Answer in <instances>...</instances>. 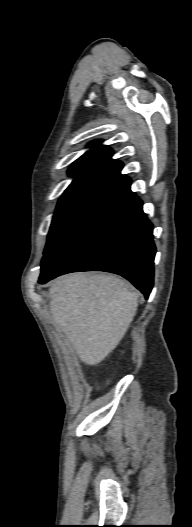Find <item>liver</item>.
<instances>
[{"instance_id": "1", "label": "liver", "mask_w": 192, "mask_h": 527, "mask_svg": "<svg viewBox=\"0 0 192 527\" xmlns=\"http://www.w3.org/2000/svg\"><path fill=\"white\" fill-rule=\"evenodd\" d=\"M52 323L72 343L80 360L97 365L124 337L137 310L130 284L110 274L74 273L50 289Z\"/></svg>"}]
</instances>
